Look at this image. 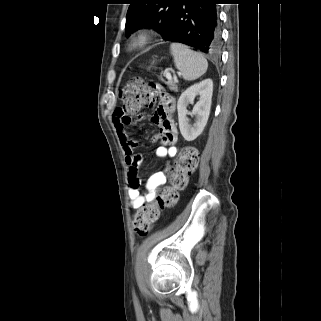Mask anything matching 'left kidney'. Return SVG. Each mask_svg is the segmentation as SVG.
Segmentation results:
<instances>
[{
	"mask_svg": "<svg viewBox=\"0 0 321 321\" xmlns=\"http://www.w3.org/2000/svg\"><path fill=\"white\" fill-rule=\"evenodd\" d=\"M212 93L213 81L212 79H205L186 89L178 99L179 129L186 141L195 140L203 132L210 114ZM196 95L200 96L192 110V115L196 116V122L190 125L187 118L189 114L187 106L194 101Z\"/></svg>",
	"mask_w": 321,
	"mask_h": 321,
	"instance_id": "left-kidney-1",
	"label": "left kidney"
}]
</instances>
